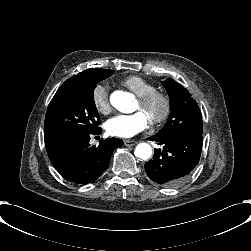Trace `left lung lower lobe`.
I'll use <instances>...</instances> for the list:
<instances>
[{
  "label": "left lung lower lobe",
  "instance_id": "obj_1",
  "mask_svg": "<svg viewBox=\"0 0 251 251\" xmlns=\"http://www.w3.org/2000/svg\"><path fill=\"white\" fill-rule=\"evenodd\" d=\"M202 133L185 132L166 138L156 135L148 140L163 145L154 149L153 159L145 164V171L154 182L168 187L184 182L199 163L202 150Z\"/></svg>",
  "mask_w": 251,
  "mask_h": 251
}]
</instances>
